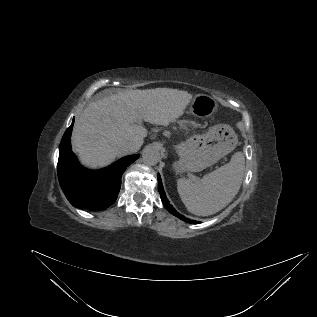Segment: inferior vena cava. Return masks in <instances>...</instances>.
Returning a JSON list of instances; mask_svg holds the SVG:
<instances>
[{
    "label": "inferior vena cava",
    "mask_w": 317,
    "mask_h": 317,
    "mask_svg": "<svg viewBox=\"0 0 317 317\" xmlns=\"http://www.w3.org/2000/svg\"><path fill=\"white\" fill-rule=\"evenodd\" d=\"M118 149L121 154L126 155L135 152L137 150V145L132 142H123Z\"/></svg>",
    "instance_id": "inferior-vena-cava-1"
}]
</instances>
